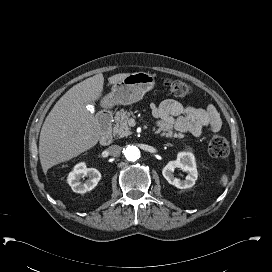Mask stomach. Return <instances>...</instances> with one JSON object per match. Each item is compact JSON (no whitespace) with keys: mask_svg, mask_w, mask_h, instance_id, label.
<instances>
[{"mask_svg":"<svg viewBox=\"0 0 272 272\" xmlns=\"http://www.w3.org/2000/svg\"><path fill=\"white\" fill-rule=\"evenodd\" d=\"M155 85V76L146 72L132 73L113 85L111 92L104 98L106 107L133 104L150 91Z\"/></svg>","mask_w":272,"mask_h":272,"instance_id":"stomach-1","label":"stomach"}]
</instances>
